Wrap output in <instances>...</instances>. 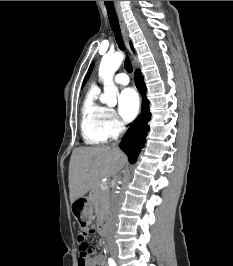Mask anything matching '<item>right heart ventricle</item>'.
I'll use <instances>...</instances> for the list:
<instances>
[{
	"label": "right heart ventricle",
	"mask_w": 233,
	"mask_h": 266,
	"mask_svg": "<svg viewBox=\"0 0 233 266\" xmlns=\"http://www.w3.org/2000/svg\"><path fill=\"white\" fill-rule=\"evenodd\" d=\"M99 89L92 87L81 108V133L87 144L96 145L107 140L102 124L106 107L97 101Z\"/></svg>",
	"instance_id": "right-heart-ventricle-1"
}]
</instances>
